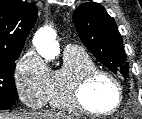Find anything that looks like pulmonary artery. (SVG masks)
I'll return each mask as SVG.
<instances>
[{
  "label": "pulmonary artery",
  "mask_w": 142,
  "mask_h": 119,
  "mask_svg": "<svg viewBox=\"0 0 142 119\" xmlns=\"http://www.w3.org/2000/svg\"><path fill=\"white\" fill-rule=\"evenodd\" d=\"M73 47H74V45H71V44H68V45L66 46L67 49L73 48Z\"/></svg>",
  "instance_id": "1"
}]
</instances>
